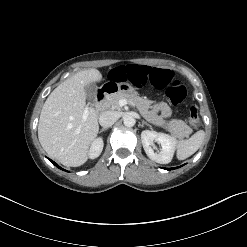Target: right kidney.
<instances>
[{
	"label": "right kidney",
	"mask_w": 247,
	"mask_h": 247,
	"mask_svg": "<svg viewBox=\"0 0 247 247\" xmlns=\"http://www.w3.org/2000/svg\"><path fill=\"white\" fill-rule=\"evenodd\" d=\"M103 139L102 138H97L93 141V143L91 144V147L89 149L88 152V156L91 159L97 158L102 150H103Z\"/></svg>",
	"instance_id": "obj_1"
}]
</instances>
